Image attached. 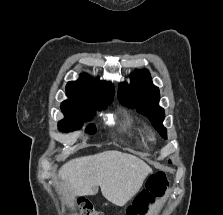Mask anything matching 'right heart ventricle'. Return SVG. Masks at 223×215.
Instances as JSON below:
<instances>
[{
	"mask_svg": "<svg viewBox=\"0 0 223 215\" xmlns=\"http://www.w3.org/2000/svg\"><path fill=\"white\" fill-rule=\"evenodd\" d=\"M122 132L126 135H133L136 138L141 139L142 141L145 140V132L142 130L139 125L130 117H127L124 126L122 128Z\"/></svg>",
	"mask_w": 223,
	"mask_h": 215,
	"instance_id": "e07e8e85",
	"label": "right heart ventricle"
}]
</instances>
